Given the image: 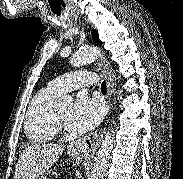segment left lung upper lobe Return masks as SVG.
Returning <instances> with one entry per match:
<instances>
[{"mask_svg":"<svg viewBox=\"0 0 183 179\" xmlns=\"http://www.w3.org/2000/svg\"><path fill=\"white\" fill-rule=\"evenodd\" d=\"M92 38H93V40H94L96 43H99V44L102 43V42L99 40V38H98V32H97L95 29L92 30Z\"/></svg>","mask_w":183,"mask_h":179,"instance_id":"left-lung-upper-lobe-1","label":"left lung upper lobe"}]
</instances>
